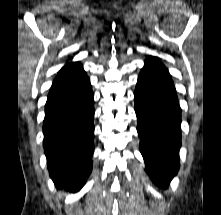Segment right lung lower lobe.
Masks as SVG:
<instances>
[{
  "label": "right lung lower lobe",
  "mask_w": 221,
  "mask_h": 215,
  "mask_svg": "<svg viewBox=\"0 0 221 215\" xmlns=\"http://www.w3.org/2000/svg\"><path fill=\"white\" fill-rule=\"evenodd\" d=\"M94 100L85 71L52 85L45 105L44 151L55 187L79 191L92 171Z\"/></svg>",
  "instance_id": "right-lung-lower-lobe-1"
}]
</instances>
